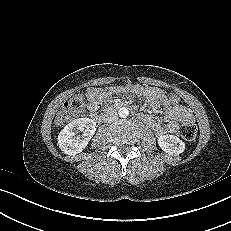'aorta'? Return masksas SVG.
Segmentation results:
<instances>
[{"label":"aorta","mask_w":231,"mask_h":231,"mask_svg":"<svg viewBox=\"0 0 231 231\" xmlns=\"http://www.w3.org/2000/svg\"><path fill=\"white\" fill-rule=\"evenodd\" d=\"M118 114L121 118H126L129 115V110L125 107H122L118 110Z\"/></svg>","instance_id":"aorta-1"}]
</instances>
